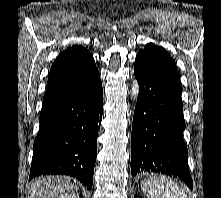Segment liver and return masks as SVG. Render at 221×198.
Returning a JSON list of instances; mask_svg holds the SVG:
<instances>
[{
    "label": "liver",
    "mask_w": 221,
    "mask_h": 198,
    "mask_svg": "<svg viewBox=\"0 0 221 198\" xmlns=\"http://www.w3.org/2000/svg\"><path fill=\"white\" fill-rule=\"evenodd\" d=\"M30 198H79L77 182L68 176H44L35 179Z\"/></svg>",
    "instance_id": "1"
}]
</instances>
